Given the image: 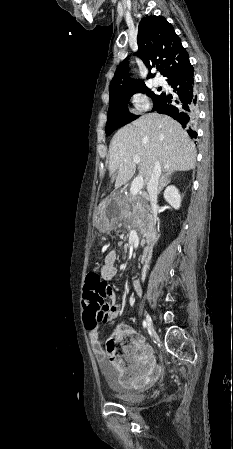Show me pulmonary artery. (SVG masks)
<instances>
[{
	"instance_id": "1",
	"label": "pulmonary artery",
	"mask_w": 233,
	"mask_h": 449,
	"mask_svg": "<svg viewBox=\"0 0 233 449\" xmlns=\"http://www.w3.org/2000/svg\"><path fill=\"white\" fill-rule=\"evenodd\" d=\"M154 83H155V85H164L165 81H164V79L162 77L155 76Z\"/></svg>"
}]
</instances>
